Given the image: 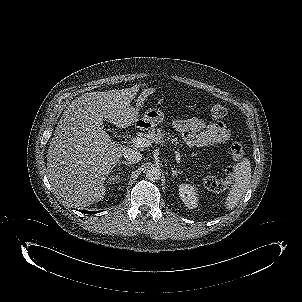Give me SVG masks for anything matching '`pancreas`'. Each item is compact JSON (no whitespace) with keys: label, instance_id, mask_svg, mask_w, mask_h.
<instances>
[{"label":"pancreas","instance_id":"pancreas-1","mask_svg":"<svg viewBox=\"0 0 302 302\" xmlns=\"http://www.w3.org/2000/svg\"><path fill=\"white\" fill-rule=\"evenodd\" d=\"M147 138L151 141L164 144L165 142L172 143L175 146L179 144L177 137H171L169 133H166L162 128L152 129L146 134Z\"/></svg>","mask_w":302,"mask_h":302}]
</instances>
